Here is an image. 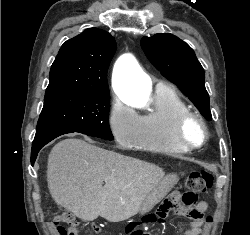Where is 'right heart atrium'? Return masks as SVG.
I'll use <instances>...</instances> for the list:
<instances>
[{"mask_svg": "<svg viewBox=\"0 0 250 235\" xmlns=\"http://www.w3.org/2000/svg\"><path fill=\"white\" fill-rule=\"evenodd\" d=\"M108 124L118 144L125 147L135 146L140 131L139 116L117 98L111 102Z\"/></svg>", "mask_w": 250, "mask_h": 235, "instance_id": "1", "label": "right heart atrium"}]
</instances>
